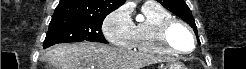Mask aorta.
Masks as SVG:
<instances>
[{"label": "aorta", "instance_id": "aorta-1", "mask_svg": "<svg viewBox=\"0 0 246 69\" xmlns=\"http://www.w3.org/2000/svg\"><path fill=\"white\" fill-rule=\"evenodd\" d=\"M137 20H142V17H141V16H138V17H137Z\"/></svg>", "mask_w": 246, "mask_h": 69}]
</instances>
